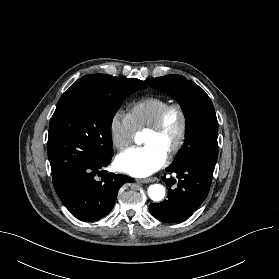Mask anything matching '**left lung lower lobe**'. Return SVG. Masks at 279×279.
Returning a JSON list of instances; mask_svg holds the SVG:
<instances>
[{
    "label": "left lung lower lobe",
    "instance_id": "obj_1",
    "mask_svg": "<svg viewBox=\"0 0 279 279\" xmlns=\"http://www.w3.org/2000/svg\"><path fill=\"white\" fill-rule=\"evenodd\" d=\"M166 170L175 173L178 180L162 178L169 187L167 199L150 204L149 210L161 221L177 223L192 215L206 199L213 173L191 164L169 166Z\"/></svg>",
    "mask_w": 279,
    "mask_h": 279
}]
</instances>
